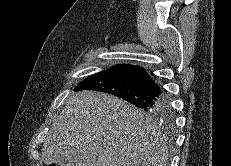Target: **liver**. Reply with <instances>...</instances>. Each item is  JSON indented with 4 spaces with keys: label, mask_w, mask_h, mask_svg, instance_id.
I'll return each mask as SVG.
<instances>
[{
    "label": "liver",
    "mask_w": 231,
    "mask_h": 166,
    "mask_svg": "<svg viewBox=\"0 0 231 166\" xmlns=\"http://www.w3.org/2000/svg\"><path fill=\"white\" fill-rule=\"evenodd\" d=\"M169 143L144 111L113 95L71 94L43 147L46 165L168 166Z\"/></svg>",
    "instance_id": "liver-1"
}]
</instances>
